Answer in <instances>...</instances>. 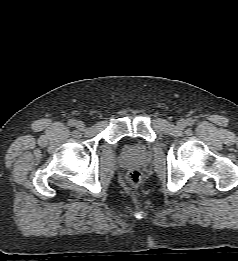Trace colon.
I'll list each match as a JSON object with an SVG mask.
<instances>
[{
	"instance_id": "obj_1",
	"label": "colon",
	"mask_w": 238,
	"mask_h": 261,
	"mask_svg": "<svg viewBox=\"0 0 238 261\" xmlns=\"http://www.w3.org/2000/svg\"><path fill=\"white\" fill-rule=\"evenodd\" d=\"M142 180V175L139 171H130L126 176L127 183L136 188L140 185Z\"/></svg>"
}]
</instances>
